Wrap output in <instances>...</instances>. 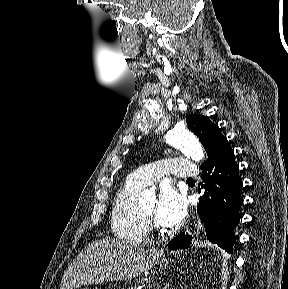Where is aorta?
<instances>
[{
  "instance_id": "obj_1",
  "label": "aorta",
  "mask_w": 288,
  "mask_h": 289,
  "mask_svg": "<svg viewBox=\"0 0 288 289\" xmlns=\"http://www.w3.org/2000/svg\"><path fill=\"white\" fill-rule=\"evenodd\" d=\"M166 142L179 149L187 157H191L194 161H200L204 157V152L199 141L188 132L184 126H177L169 131L166 135ZM150 201V195L144 193L139 201V204L145 206ZM200 225L198 224L197 232Z\"/></svg>"
}]
</instances>
